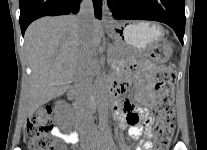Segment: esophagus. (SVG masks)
Listing matches in <instances>:
<instances>
[{
    "mask_svg": "<svg viewBox=\"0 0 207 150\" xmlns=\"http://www.w3.org/2000/svg\"><path fill=\"white\" fill-rule=\"evenodd\" d=\"M102 22L105 24L113 23L111 13L108 7V0H102Z\"/></svg>",
    "mask_w": 207,
    "mask_h": 150,
    "instance_id": "obj_1",
    "label": "esophagus"
}]
</instances>
